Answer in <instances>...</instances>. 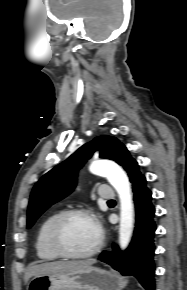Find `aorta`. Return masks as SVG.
Returning a JSON list of instances; mask_svg holds the SVG:
<instances>
[{
	"mask_svg": "<svg viewBox=\"0 0 187 290\" xmlns=\"http://www.w3.org/2000/svg\"><path fill=\"white\" fill-rule=\"evenodd\" d=\"M89 169L93 174L106 177L118 193L120 199L119 245L125 249L131 240L134 222V209L128 177L118 165L109 161H95Z\"/></svg>",
	"mask_w": 187,
	"mask_h": 290,
	"instance_id": "aorta-1",
	"label": "aorta"
}]
</instances>
